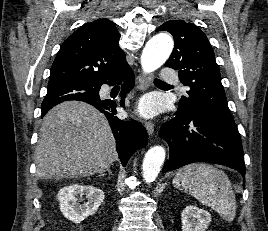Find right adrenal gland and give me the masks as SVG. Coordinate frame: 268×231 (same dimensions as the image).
Masks as SVG:
<instances>
[{"label":"right adrenal gland","mask_w":268,"mask_h":231,"mask_svg":"<svg viewBox=\"0 0 268 231\" xmlns=\"http://www.w3.org/2000/svg\"><path fill=\"white\" fill-rule=\"evenodd\" d=\"M104 172H108L109 175L111 174V171H110V168H109V167L106 168V169L102 172V174H103Z\"/></svg>","instance_id":"2a0ac1e0"}]
</instances>
